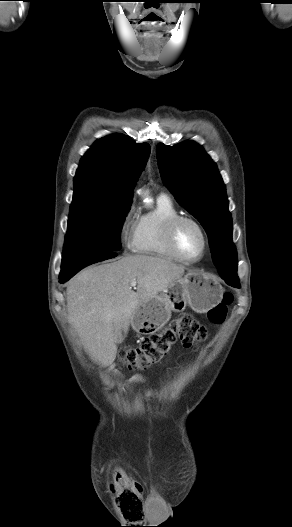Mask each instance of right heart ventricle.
<instances>
[{
	"mask_svg": "<svg viewBox=\"0 0 292 527\" xmlns=\"http://www.w3.org/2000/svg\"><path fill=\"white\" fill-rule=\"evenodd\" d=\"M180 215L173 201L166 195H160L156 206L140 214L136 220L132 250L138 254L151 255L166 259H176L165 242L168 222Z\"/></svg>",
	"mask_w": 292,
	"mask_h": 527,
	"instance_id": "right-heart-ventricle-1",
	"label": "right heart ventricle"
}]
</instances>
